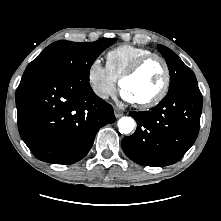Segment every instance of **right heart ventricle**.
Wrapping results in <instances>:
<instances>
[{"instance_id":"e07e8e85","label":"right heart ventricle","mask_w":221,"mask_h":221,"mask_svg":"<svg viewBox=\"0 0 221 221\" xmlns=\"http://www.w3.org/2000/svg\"><path fill=\"white\" fill-rule=\"evenodd\" d=\"M150 53L149 49L141 46L122 44L107 52L106 67L111 76L118 80L135 61Z\"/></svg>"}]
</instances>
